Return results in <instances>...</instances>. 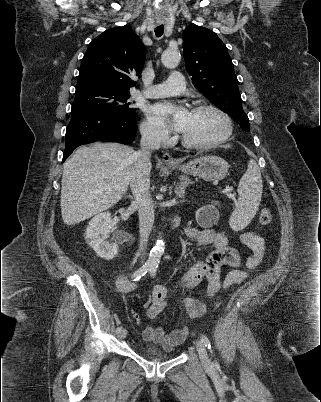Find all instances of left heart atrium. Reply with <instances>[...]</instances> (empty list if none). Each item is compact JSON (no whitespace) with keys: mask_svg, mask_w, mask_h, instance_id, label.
<instances>
[{"mask_svg":"<svg viewBox=\"0 0 321 402\" xmlns=\"http://www.w3.org/2000/svg\"><path fill=\"white\" fill-rule=\"evenodd\" d=\"M147 115L158 126H167L175 131L182 132L190 112L183 106L163 101L149 106Z\"/></svg>","mask_w":321,"mask_h":402,"instance_id":"left-heart-atrium-1","label":"left heart atrium"}]
</instances>
